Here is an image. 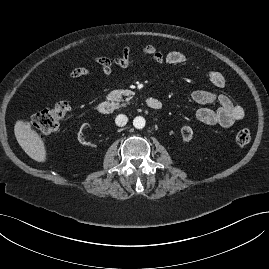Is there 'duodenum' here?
<instances>
[{"instance_id":"duodenum-1","label":"duodenum","mask_w":269,"mask_h":269,"mask_svg":"<svg viewBox=\"0 0 269 269\" xmlns=\"http://www.w3.org/2000/svg\"><path fill=\"white\" fill-rule=\"evenodd\" d=\"M148 109L158 112L162 109V102L156 98L148 97L145 99ZM96 111L102 115H110L115 112V105L110 101H100L95 107Z\"/></svg>"}]
</instances>
